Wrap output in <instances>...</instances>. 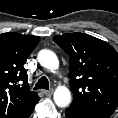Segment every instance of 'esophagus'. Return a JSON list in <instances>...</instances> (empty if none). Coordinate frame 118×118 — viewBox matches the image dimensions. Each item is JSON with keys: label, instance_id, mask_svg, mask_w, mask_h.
<instances>
[{"label": "esophagus", "instance_id": "1", "mask_svg": "<svg viewBox=\"0 0 118 118\" xmlns=\"http://www.w3.org/2000/svg\"><path fill=\"white\" fill-rule=\"evenodd\" d=\"M54 90L53 89H50V90H43V93L46 95V96H51L53 94Z\"/></svg>", "mask_w": 118, "mask_h": 118}]
</instances>
